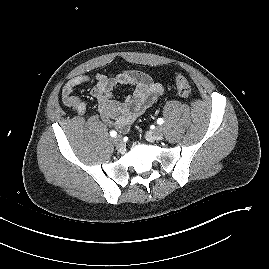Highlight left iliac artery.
<instances>
[{
  "label": "left iliac artery",
  "instance_id": "44dca946",
  "mask_svg": "<svg viewBox=\"0 0 269 269\" xmlns=\"http://www.w3.org/2000/svg\"><path fill=\"white\" fill-rule=\"evenodd\" d=\"M163 122H164L163 118H158L157 123H158L159 125L163 124Z\"/></svg>",
  "mask_w": 269,
  "mask_h": 269
}]
</instances>
